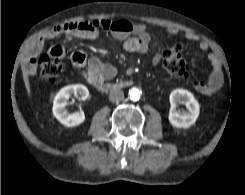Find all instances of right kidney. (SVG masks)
<instances>
[{"label":"right kidney","instance_id":"1","mask_svg":"<svg viewBox=\"0 0 245 195\" xmlns=\"http://www.w3.org/2000/svg\"><path fill=\"white\" fill-rule=\"evenodd\" d=\"M72 95L77 96L80 100H86L89 96V91L84 85L77 84L66 86L56 94L52 111L57 120L66 127L78 126L85 121L83 111L70 113L65 108L68 99Z\"/></svg>","mask_w":245,"mask_h":195}]
</instances>
